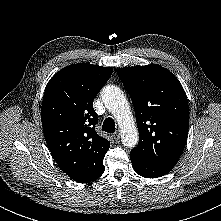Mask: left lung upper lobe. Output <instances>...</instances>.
<instances>
[{"label": "left lung upper lobe", "mask_w": 221, "mask_h": 221, "mask_svg": "<svg viewBox=\"0 0 221 221\" xmlns=\"http://www.w3.org/2000/svg\"><path fill=\"white\" fill-rule=\"evenodd\" d=\"M136 113L139 143L130 155L175 166L188 134L189 105L179 80L166 68L150 64L117 72Z\"/></svg>", "instance_id": "left-lung-upper-lobe-1"}]
</instances>
